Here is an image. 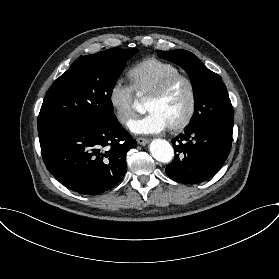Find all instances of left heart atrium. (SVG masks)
Instances as JSON below:
<instances>
[{
	"mask_svg": "<svg viewBox=\"0 0 279 279\" xmlns=\"http://www.w3.org/2000/svg\"><path fill=\"white\" fill-rule=\"evenodd\" d=\"M129 128L136 134L152 135L165 131L169 124L158 112L149 111L146 116L132 121Z\"/></svg>",
	"mask_w": 279,
	"mask_h": 279,
	"instance_id": "left-heart-atrium-1",
	"label": "left heart atrium"
}]
</instances>
